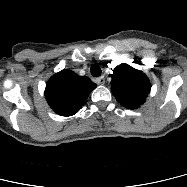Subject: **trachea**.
I'll list each match as a JSON object with an SVG mask.
<instances>
[{
    "mask_svg": "<svg viewBox=\"0 0 187 187\" xmlns=\"http://www.w3.org/2000/svg\"><path fill=\"white\" fill-rule=\"evenodd\" d=\"M90 72L93 77H99L102 71H101V68L95 64L91 66Z\"/></svg>",
    "mask_w": 187,
    "mask_h": 187,
    "instance_id": "3493384b",
    "label": "trachea"
}]
</instances>
